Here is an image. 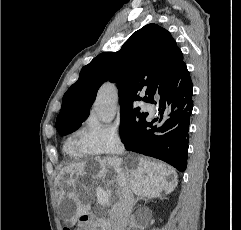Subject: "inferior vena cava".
<instances>
[{"label": "inferior vena cava", "mask_w": 241, "mask_h": 230, "mask_svg": "<svg viewBox=\"0 0 241 230\" xmlns=\"http://www.w3.org/2000/svg\"><path fill=\"white\" fill-rule=\"evenodd\" d=\"M114 170L117 173L119 198L110 211V222L112 230H126L134 205V195L120 165L115 164Z\"/></svg>", "instance_id": "obj_1"}]
</instances>
